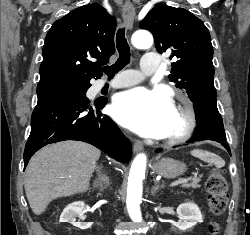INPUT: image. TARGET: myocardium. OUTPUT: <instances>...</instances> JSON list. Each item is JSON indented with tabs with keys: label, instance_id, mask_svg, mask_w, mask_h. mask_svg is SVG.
<instances>
[{
	"label": "myocardium",
	"instance_id": "myocardium-1",
	"mask_svg": "<svg viewBox=\"0 0 250 235\" xmlns=\"http://www.w3.org/2000/svg\"><path fill=\"white\" fill-rule=\"evenodd\" d=\"M177 111L183 118V126L173 136L162 138L160 142L166 146H174L188 141L194 134L197 127V115L192 103L182 99L176 106Z\"/></svg>",
	"mask_w": 250,
	"mask_h": 235
}]
</instances>
